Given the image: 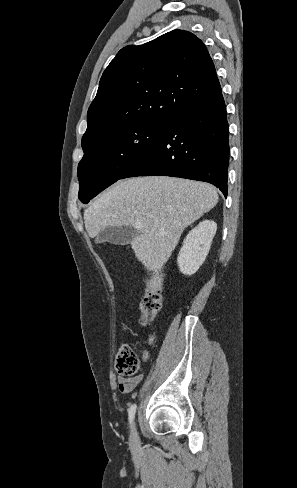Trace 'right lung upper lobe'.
Listing matches in <instances>:
<instances>
[{
  "label": "right lung upper lobe",
  "mask_w": 297,
  "mask_h": 488,
  "mask_svg": "<svg viewBox=\"0 0 297 488\" xmlns=\"http://www.w3.org/2000/svg\"><path fill=\"white\" fill-rule=\"evenodd\" d=\"M220 91L207 48L188 31L173 30L141 46H126L101 77L82 148L134 123L171 121Z\"/></svg>",
  "instance_id": "obj_1"
}]
</instances>
